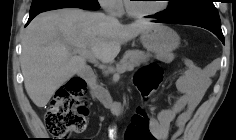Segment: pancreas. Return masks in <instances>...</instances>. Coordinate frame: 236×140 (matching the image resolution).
Segmentation results:
<instances>
[{"label": "pancreas", "instance_id": "1", "mask_svg": "<svg viewBox=\"0 0 236 140\" xmlns=\"http://www.w3.org/2000/svg\"><path fill=\"white\" fill-rule=\"evenodd\" d=\"M150 58L149 54H146L140 50H128L125 52L121 65L118 68H125V70H132L134 67L139 66L142 63H146ZM95 88V86H92Z\"/></svg>", "mask_w": 236, "mask_h": 140}]
</instances>
